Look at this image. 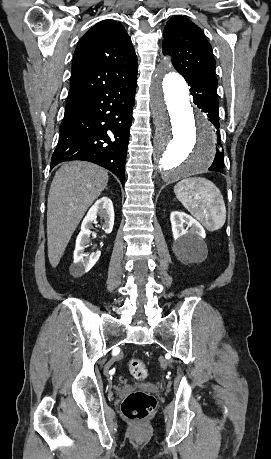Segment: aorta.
<instances>
[{"label": "aorta", "instance_id": "aorta-1", "mask_svg": "<svg viewBox=\"0 0 271 459\" xmlns=\"http://www.w3.org/2000/svg\"><path fill=\"white\" fill-rule=\"evenodd\" d=\"M150 91L156 171L168 182L206 171L216 154L215 132L191 107L188 85L172 71L169 58L157 66Z\"/></svg>", "mask_w": 271, "mask_h": 459}]
</instances>
